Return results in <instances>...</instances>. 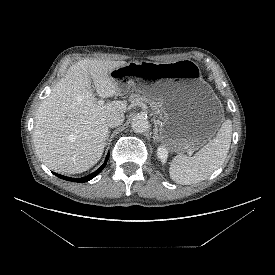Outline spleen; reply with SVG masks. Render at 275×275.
<instances>
[{"instance_id":"spleen-1","label":"spleen","mask_w":275,"mask_h":275,"mask_svg":"<svg viewBox=\"0 0 275 275\" xmlns=\"http://www.w3.org/2000/svg\"><path fill=\"white\" fill-rule=\"evenodd\" d=\"M232 138V121L226 120L215 138L193 157L177 155L170 164L171 179L183 185H191L207 179L225 161Z\"/></svg>"}]
</instances>
